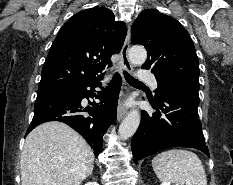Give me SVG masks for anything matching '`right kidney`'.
<instances>
[{"instance_id":"ca27d5eb","label":"right kidney","mask_w":233,"mask_h":185,"mask_svg":"<svg viewBox=\"0 0 233 185\" xmlns=\"http://www.w3.org/2000/svg\"><path fill=\"white\" fill-rule=\"evenodd\" d=\"M85 185H99L97 182H88Z\"/></svg>"}]
</instances>
